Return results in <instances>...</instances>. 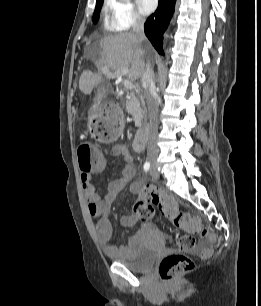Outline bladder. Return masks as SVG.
<instances>
[{
  "label": "bladder",
  "instance_id": "obj_1",
  "mask_svg": "<svg viewBox=\"0 0 261 306\" xmlns=\"http://www.w3.org/2000/svg\"><path fill=\"white\" fill-rule=\"evenodd\" d=\"M162 245V234L159 231L149 230L146 237L139 236L136 239L127 256H113V259L131 271L144 272L155 263Z\"/></svg>",
  "mask_w": 261,
  "mask_h": 306
}]
</instances>
